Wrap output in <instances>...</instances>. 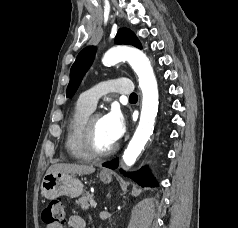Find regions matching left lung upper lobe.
I'll return each instance as SVG.
<instances>
[{
	"label": "left lung upper lobe",
	"mask_w": 238,
	"mask_h": 228,
	"mask_svg": "<svg viewBox=\"0 0 238 228\" xmlns=\"http://www.w3.org/2000/svg\"><path fill=\"white\" fill-rule=\"evenodd\" d=\"M117 44L133 45L142 48L140 41L136 35L128 28L119 29L116 36ZM96 49L94 46L84 48L77 56L70 70V82L67 87V97H72L78 89L81 80L90 65L93 62Z\"/></svg>",
	"instance_id": "1"
}]
</instances>
